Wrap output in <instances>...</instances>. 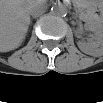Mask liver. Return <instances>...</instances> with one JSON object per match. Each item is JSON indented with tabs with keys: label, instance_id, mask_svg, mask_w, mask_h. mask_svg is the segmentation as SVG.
<instances>
[{
	"label": "liver",
	"instance_id": "obj_1",
	"mask_svg": "<svg viewBox=\"0 0 103 103\" xmlns=\"http://www.w3.org/2000/svg\"><path fill=\"white\" fill-rule=\"evenodd\" d=\"M29 2L5 0L1 2V52L18 48L23 42L30 24Z\"/></svg>",
	"mask_w": 103,
	"mask_h": 103
}]
</instances>
